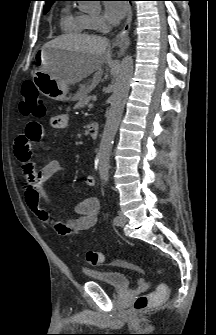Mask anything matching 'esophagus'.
Here are the masks:
<instances>
[{
	"label": "esophagus",
	"instance_id": "1",
	"mask_svg": "<svg viewBox=\"0 0 216 335\" xmlns=\"http://www.w3.org/2000/svg\"><path fill=\"white\" fill-rule=\"evenodd\" d=\"M132 17H133V9L132 5H130V10L125 25L115 38L114 45L120 47L121 50H125L130 44L128 33L131 27Z\"/></svg>",
	"mask_w": 216,
	"mask_h": 335
}]
</instances>
